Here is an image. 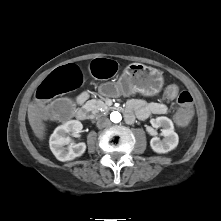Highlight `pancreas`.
Listing matches in <instances>:
<instances>
[{
	"label": "pancreas",
	"mask_w": 221,
	"mask_h": 221,
	"mask_svg": "<svg viewBox=\"0 0 221 221\" xmlns=\"http://www.w3.org/2000/svg\"><path fill=\"white\" fill-rule=\"evenodd\" d=\"M86 108H88L89 111H92L93 113H98L99 110L103 109L105 110L107 108V105L102 100H90L85 105Z\"/></svg>",
	"instance_id": "1"
}]
</instances>
